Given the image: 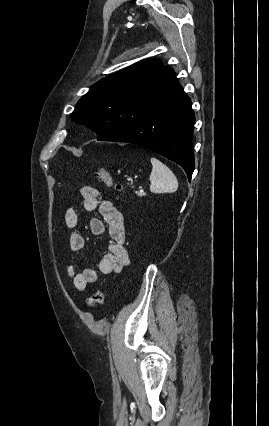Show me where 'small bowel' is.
<instances>
[{
    "label": "small bowel",
    "instance_id": "obj_1",
    "mask_svg": "<svg viewBox=\"0 0 269 426\" xmlns=\"http://www.w3.org/2000/svg\"><path fill=\"white\" fill-rule=\"evenodd\" d=\"M85 211L98 209L100 217H93L90 222L91 233L95 236L102 235L106 230L109 234L108 253L98 261V271L102 274L118 273L129 263V256L125 248V225L122 214L101 192L92 186H84L80 189ZM64 223L72 229L69 239V248L74 258L66 267V272L73 286L79 292H84L86 288L97 282V270L91 267L80 269L77 254L85 245V239L81 232L77 230L79 215L74 209H67L64 212Z\"/></svg>",
    "mask_w": 269,
    "mask_h": 426
}]
</instances>
